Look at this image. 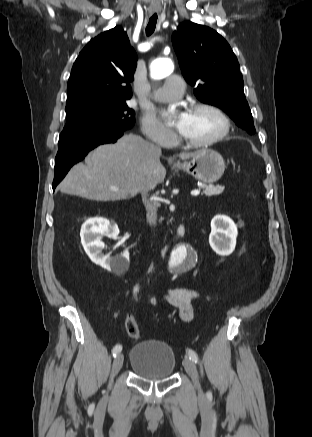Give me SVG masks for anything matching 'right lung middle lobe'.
Masks as SVG:
<instances>
[{
  "instance_id": "1",
  "label": "right lung middle lobe",
  "mask_w": 312,
  "mask_h": 437,
  "mask_svg": "<svg viewBox=\"0 0 312 437\" xmlns=\"http://www.w3.org/2000/svg\"><path fill=\"white\" fill-rule=\"evenodd\" d=\"M67 123L59 149L105 135L124 132L135 123L134 111L123 102H81L66 107Z\"/></svg>"
}]
</instances>
